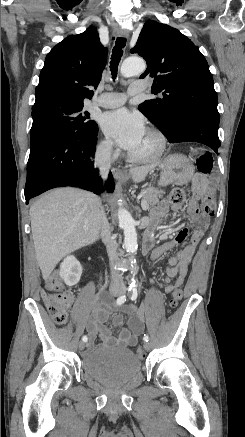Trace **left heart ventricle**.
Returning a JSON list of instances; mask_svg holds the SVG:
<instances>
[{
	"mask_svg": "<svg viewBox=\"0 0 245 437\" xmlns=\"http://www.w3.org/2000/svg\"><path fill=\"white\" fill-rule=\"evenodd\" d=\"M157 145L158 143L156 138L146 132L140 145L135 151L132 152V155L137 157L147 156L155 151Z\"/></svg>",
	"mask_w": 245,
	"mask_h": 437,
	"instance_id": "1",
	"label": "left heart ventricle"
}]
</instances>
